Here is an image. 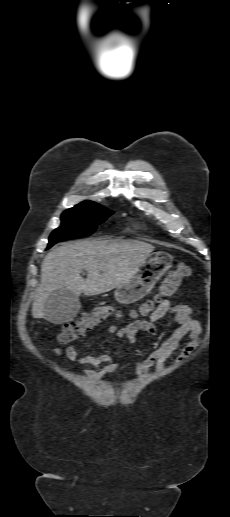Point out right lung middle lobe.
<instances>
[{"label":"right lung middle lobe","instance_id":"dd1d6c3e","mask_svg":"<svg viewBox=\"0 0 230 517\" xmlns=\"http://www.w3.org/2000/svg\"><path fill=\"white\" fill-rule=\"evenodd\" d=\"M112 214V211L89 201L64 211L62 224L51 233L47 249L65 239L89 236Z\"/></svg>","mask_w":230,"mask_h":517}]
</instances>
